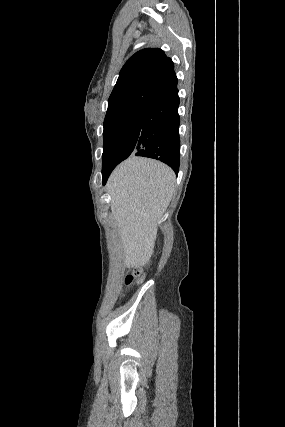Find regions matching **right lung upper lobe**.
Returning <instances> with one entry per match:
<instances>
[{"label": "right lung upper lobe", "instance_id": "right-lung-upper-lobe-1", "mask_svg": "<svg viewBox=\"0 0 285 427\" xmlns=\"http://www.w3.org/2000/svg\"><path fill=\"white\" fill-rule=\"evenodd\" d=\"M174 64L158 48L143 49L125 63L108 100L104 124L126 115L147 111L153 104L175 93Z\"/></svg>", "mask_w": 285, "mask_h": 427}]
</instances>
